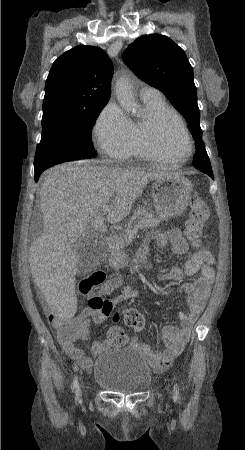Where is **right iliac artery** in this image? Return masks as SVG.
<instances>
[{"instance_id": "right-iliac-artery-1", "label": "right iliac artery", "mask_w": 245, "mask_h": 450, "mask_svg": "<svg viewBox=\"0 0 245 450\" xmlns=\"http://www.w3.org/2000/svg\"><path fill=\"white\" fill-rule=\"evenodd\" d=\"M72 389H73V391L76 392V395L78 396L79 393H80V388H79V384H78V379H77V377H75V379H74V381H73Z\"/></svg>"}]
</instances>
